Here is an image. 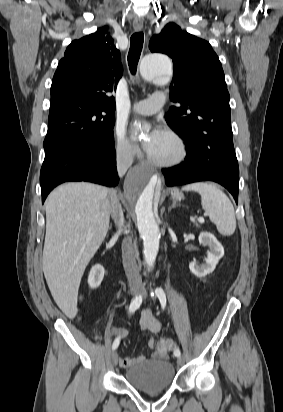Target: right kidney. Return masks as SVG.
I'll list each match as a JSON object with an SVG mask.
<instances>
[{"label":"right kidney","mask_w":283,"mask_h":412,"mask_svg":"<svg viewBox=\"0 0 283 412\" xmlns=\"http://www.w3.org/2000/svg\"><path fill=\"white\" fill-rule=\"evenodd\" d=\"M104 273H105V270L102 265L100 264L94 265L91 268L89 276H88L89 287L92 289L99 287L104 278Z\"/></svg>","instance_id":"1"}]
</instances>
